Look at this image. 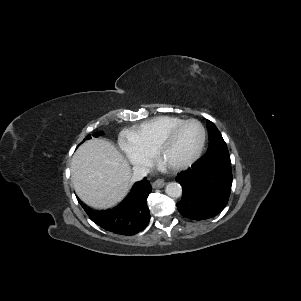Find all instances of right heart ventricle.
I'll list each match as a JSON object with an SVG mask.
<instances>
[{"mask_svg": "<svg viewBox=\"0 0 301 301\" xmlns=\"http://www.w3.org/2000/svg\"><path fill=\"white\" fill-rule=\"evenodd\" d=\"M184 121L176 116H158L131 128L127 135L143 150L153 154L158 139Z\"/></svg>", "mask_w": 301, "mask_h": 301, "instance_id": "1", "label": "right heart ventricle"}]
</instances>
